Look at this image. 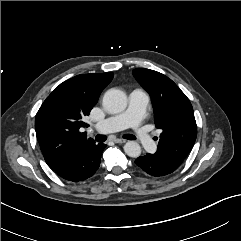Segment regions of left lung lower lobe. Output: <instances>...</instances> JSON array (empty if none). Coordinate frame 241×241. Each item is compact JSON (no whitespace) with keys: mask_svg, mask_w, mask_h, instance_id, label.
<instances>
[{"mask_svg":"<svg viewBox=\"0 0 241 241\" xmlns=\"http://www.w3.org/2000/svg\"><path fill=\"white\" fill-rule=\"evenodd\" d=\"M136 165L147 174L161 177L173 173L178 167L155 159L152 154H146L135 160Z\"/></svg>","mask_w":241,"mask_h":241,"instance_id":"obj_1","label":"left lung lower lobe"}]
</instances>
